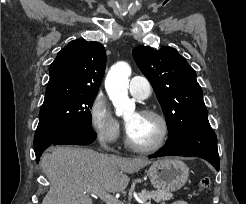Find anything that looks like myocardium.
<instances>
[{"label": "myocardium", "instance_id": "1", "mask_svg": "<svg viewBox=\"0 0 246 204\" xmlns=\"http://www.w3.org/2000/svg\"><path fill=\"white\" fill-rule=\"evenodd\" d=\"M140 114L153 117L159 122L161 127L159 137L154 143L150 145H138L131 140L127 132L125 137V144L129 149L139 153H152L158 151L164 146V144L168 139V135H169L168 121L163 114L153 109H144L140 111Z\"/></svg>", "mask_w": 246, "mask_h": 204}]
</instances>
